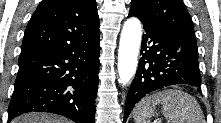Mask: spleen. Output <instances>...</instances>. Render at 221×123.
<instances>
[{"label":"spleen","mask_w":221,"mask_h":123,"mask_svg":"<svg viewBox=\"0 0 221 123\" xmlns=\"http://www.w3.org/2000/svg\"><path fill=\"white\" fill-rule=\"evenodd\" d=\"M160 104L169 123H205L197 100L176 89L163 90L142 99L133 111L135 123H149L148 119L155 114L154 109Z\"/></svg>","instance_id":"spleen-1"}]
</instances>
